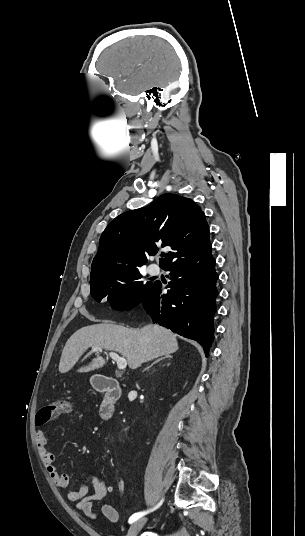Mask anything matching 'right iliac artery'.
<instances>
[{"label": "right iliac artery", "mask_w": 305, "mask_h": 536, "mask_svg": "<svg viewBox=\"0 0 305 536\" xmlns=\"http://www.w3.org/2000/svg\"><path fill=\"white\" fill-rule=\"evenodd\" d=\"M161 503H162V502H161ZM161 503H160V504H161ZM160 504H159V506H160ZM156 508H158V506L155 507L153 510H155ZM153 510H151V511H153ZM147 513H149V511H147V512L134 513V514L129 518V523H133L134 521L138 520L139 518H141L143 515H145V514H147Z\"/></svg>", "instance_id": "82829eb1"}]
</instances>
